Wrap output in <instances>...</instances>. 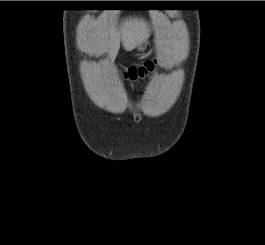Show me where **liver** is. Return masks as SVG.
<instances>
[{"label": "liver", "instance_id": "1", "mask_svg": "<svg viewBox=\"0 0 265 245\" xmlns=\"http://www.w3.org/2000/svg\"><path fill=\"white\" fill-rule=\"evenodd\" d=\"M149 37V28L143 19H126L121 28H107L105 21L101 20L89 29L85 36V47L93 53H108L114 60L120 48V41L126 51L137 48Z\"/></svg>", "mask_w": 265, "mask_h": 245}]
</instances>
